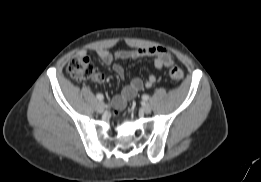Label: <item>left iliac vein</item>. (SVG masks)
Here are the masks:
<instances>
[{
    "mask_svg": "<svg viewBox=\"0 0 261 182\" xmlns=\"http://www.w3.org/2000/svg\"><path fill=\"white\" fill-rule=\"evenodd\" d=\"M142 108H143L144 113H146V114H149L152 111V108L148 103H145Z\"/></svg>",
    "mask_w": 261,
    "mask_h": 182,
    "instance_id": "4c4485c4",
    "label": "left iliac vein"
}]
</instances>
